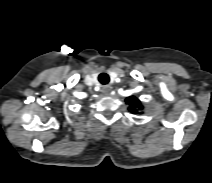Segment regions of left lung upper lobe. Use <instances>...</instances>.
Here are the masks:
<instances>
[{
    "label": "left lung upper lobe",
    "mask_w": 212,
    "mask_h": 183,
    "mask_svg": "<svg viewBox=\"0 0 212 183\" xmlns=\"http://www.w3.org/2000/svg\"><path fill=\"white\" fill-rule=\"evenodd\" d=\"M126 103L129 104V111L134 114H137L138 110L143 109L141 102L134 96L126 98Z\"/></svg>",
    "instance_id": "obj_1"
}]
</instances>
